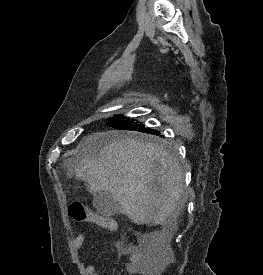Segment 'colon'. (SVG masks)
<instances>
[{"label": "colon", "mask_w": 263, "mask_h": 275, "mask_svg": "<svg viewBox=\"0 0 263 275\" xmlns=\"http://www.w3.org/2000/svg\"><path fill=\"white\" fill-rule=\"evenodd\" d=\"M69 215L77 222H91L102 225L104 228L115 231L117 224L107 221L103 217L91 212L81 203H73L69 207ZM166 251L160 246H152L148 251V275H155L159 266L164 261Z\"/></svg>", "instance_id": "5ec220e1"}]
</instances>
